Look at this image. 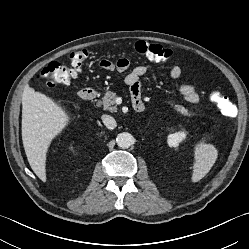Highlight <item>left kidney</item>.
<instances>
[{"label": "left kidney", "instance_id": "1", "mask_svg": "<svg viewBox=\"0 0 249 249\" xmlns=\"http://www.w3.org/2000/svg\"><path fill=\"white\" fill-rule=\"evenodd\" d=\"M185 138L186 133L184 131L176 132L168 135L167 143L170 147L176 148Z\"/></svg>", "mask_w": 249, "mask_h": 249}]
</instances>
